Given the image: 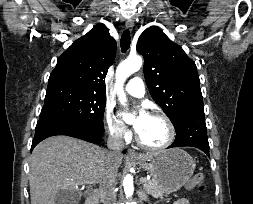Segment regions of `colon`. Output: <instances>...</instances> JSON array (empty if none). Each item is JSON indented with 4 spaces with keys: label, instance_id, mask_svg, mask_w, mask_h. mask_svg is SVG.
Listing matches in <instances>:
<instances>
[{
    "label": "colon",
    "instance_id": "colon-1",
    "mask_svg": "<svg viewBox=\"0 0 253 204\" xmlns=\"http://www.w3.org/2000/svg\"><path fill=\"white\" fill-rule=\"evenodd\" d=\"M204 174L203 173H197L195 174L191 179V186L192 187H198L199 190L204 189Z\"/></svg>",
    "mask_w": 253,
    "mask_h": 204
}]
</instances>
